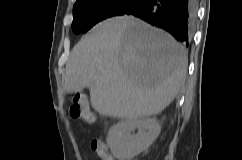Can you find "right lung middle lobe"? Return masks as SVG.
<instances>
[{
	"mask_svg": "<svg viewBox=\"0 0 242 160\" xmlns=\"http://www.w3.org/2000/svg\"><path fill=\"white\" fill-rule=\"evenodd\" d=\"M143 0H82L73 7L72 29L84 33L96 23L113 16L124 15Z\"/></svg>",
	"mask_w": 242,
	"mask_h": 160,
	"instance_id": "right-lung-middle-lobe-1",
	"label": "right lung middle lobe"
}]
</instances>
